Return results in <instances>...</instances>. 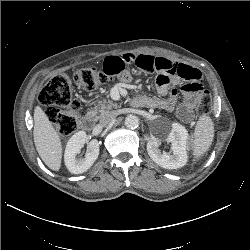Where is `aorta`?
Instances as JSON below:
<instances>
[{
  "label": "aorta",
  "instance_id": "762f6f07",
  "mask_svg": "<svg viewBox=\"0 0 250 250\" xmlns=\"http://www.w3.org/2000/svg\"><path fill=\"white\" fill-rule=\"evenodd\" d=\"M125 126L129 129H136L139 126V118L135 115H128L125 118Z\"/></svg>",
  "mask_w": 250,
  "mask_h": 250
}]
</instances>
